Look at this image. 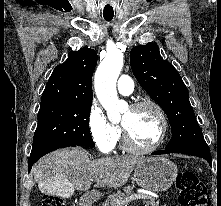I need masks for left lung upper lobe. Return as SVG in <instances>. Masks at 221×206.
<instances>
[{"instance_id":"obj_1","label":"left lung upper lobe","mask_w":221,"mask_h":206,"mask_svg":"<svg viewBox=\"0 0 221 206\" xmlns=\"http://www.w3.org/2000/svg\"><path fill=\"white\" fill-rule=\"evenodd\" d=\"M130 64L141 87L168 116L172 138L165 149L209 151L189 102L187 87L172 64L162 59L158 46L150 43L134 47Z\"/></svg>"}]
</instances>
